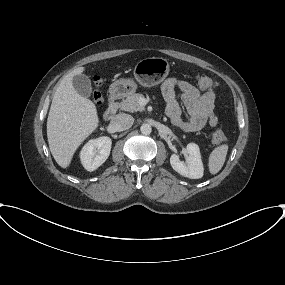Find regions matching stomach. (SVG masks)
Wrapping results in <instances>:
<instances>
[{
	"instance_id": "obj_1",
	"label": "stomach",
	"mask_w": 285,
	"mask_h": 285,
	"mask_svg": "<svg viewBox=\"0 0 285 285\" xmlns=\"http://www.w3.org/2000/svg\"><path fill=\"white\" fill-rule=\"evenodd\" d=\"M170 71L169 62L162 57H149L140 60L134 67L136 81L144 86L158 85L165 80ZM137 83L133 79H119L110 85L109 92L115 98H122L134 93Z\"/></svg>"
}]
</instances>
